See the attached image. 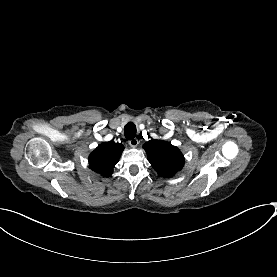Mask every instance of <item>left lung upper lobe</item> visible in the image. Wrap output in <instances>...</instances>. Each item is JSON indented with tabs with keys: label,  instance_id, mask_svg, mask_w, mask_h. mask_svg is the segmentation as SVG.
Here are the masks:
<instances>
[{
	"label": "left lung upper lobe",
	"instance_id": "5c2ea615",
	"mask_svg": "<svg viewBox=\"0 0 277 277\" xmlns=\"http://www.w3.org/2000/svg\"><path fill=\"white\" fill-rule=\"evenodd\" d=\"M152 167L162 177H172L184 166V156L171 143L152 139L143 146Z\"/></svg>",
	"mask_w": 277,
	"mask_h": 277
}]
</instances>
